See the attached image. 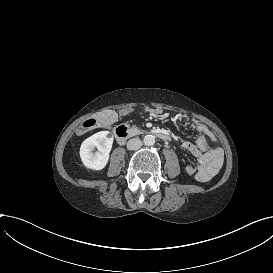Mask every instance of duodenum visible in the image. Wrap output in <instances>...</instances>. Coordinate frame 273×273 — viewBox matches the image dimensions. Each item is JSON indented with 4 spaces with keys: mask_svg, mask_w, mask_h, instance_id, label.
Returning <instances> with one entry per match:
<instances>
[{
    "mask_svg": "<svg viewBox=\"0 0 273 273\" xmlns=\"http://www.w3.org/2000/svg\"><path fill=\"white\" fill-rule=\"evenodd\" d=\"M138 134H139V131L137 129L129 128L124 125H120L116 127L115 129V136L119 143H123L128 138L136 136ZM155 134L162 140H165V141L170 140V136L165 132L158 131V132H155Z\"/></svg>",
    "mask_w": 273,
    "mask_h": 273,
    "instance_id": "duodenum-1",
    "label": "duodenum"
}]
</instances>
